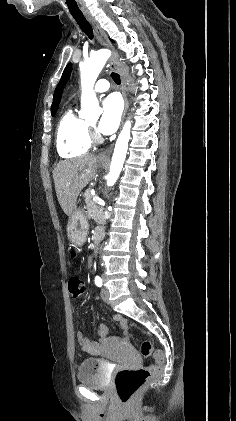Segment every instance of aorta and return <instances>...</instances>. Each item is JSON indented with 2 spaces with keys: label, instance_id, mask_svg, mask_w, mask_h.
I'll return each mask as SVG.
<instances>
[{
  "label": "aorta",
  "instance_id": "aorta-1",
  "mask_svg": "<svg viewBox=\"0 0 236 421\" xmlns=\"http://www.w3.org/2000/svg\"><path fill=\"white\" fill-rule=\"evenodd\" d=\"M111 50L108 48H100L96 50L93 54H90L88 60H84L83 64L80 66V76L82 82V98L81 106L86 104L87 100L93 102L95 100V92L93 90L94 82L101 72L107 58H109ZM131 134V122L126 120L115 144L111 164L110 172L107 176L108 186H112L116 182L124 164L126 158V152L128 148V142Z\"/></svg>",
  "mask_w": 236,
  "mask_h": 421
}]
</instances>
